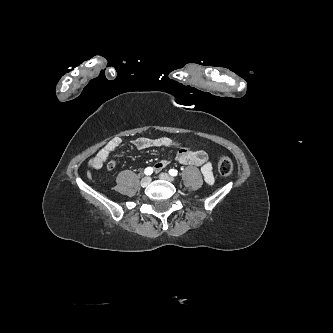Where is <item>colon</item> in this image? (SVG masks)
<instances>
[{"label": "colon", "instance_id": "colon-1", "mask_svg": "<svg viewBox=\"0 0 333 333\" xmlns=\"http://www.w3.org/2000/svg\"><path fill=\"white\" fill-rule=\"evenodd\" d=\"M218 171L221 176L229 177L233 172V163L228 157H221L218 161Z\"/></svg>", "mask_w": 333, "mask_h": 333}]
</instances>
